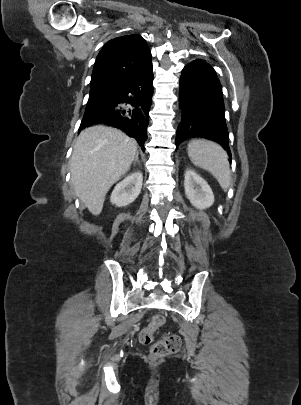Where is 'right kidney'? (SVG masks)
<instances>
[{
    "instance_id": "1",
    "label": "right kidney",
    "mask_w": 301,
    "mask_h": 405,
    "mask_svg": "<svg viewBox=\"0 0 301 405\" xmlns=\"http://www.w3.org/2000/svg\"><path fill=\"white\" fill-rule=\"evenodd\" d=\"M142 182L143 176L141 172L137 171L129 174L115 186L110 196V202L117 207L129 205L139 196Z\"/></svg>"
}]
</instances>
